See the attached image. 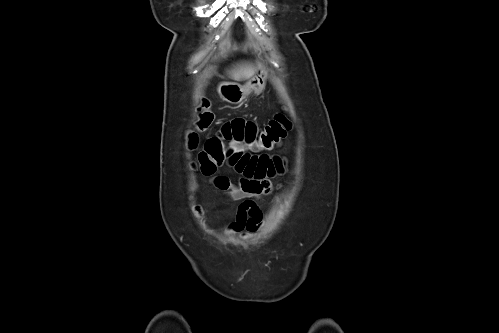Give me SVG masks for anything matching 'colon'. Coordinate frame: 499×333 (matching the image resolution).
Segmentation results:
<instances>
[{"instance_id":"colon-1","label":"colon","mask_w":499,"mask_h":333,"mask_svg":"<svg viewBox=\"0 0 499 333\" xmlns=\"http://www.w3.org/2000/svg\"><path fill=\"white\" fill-rule=\"evenodd\" d=\"M202 114L197 124L199 130H204L210 126L213 121V114L208 111V104L205 102L202 106ZM290 122L283 114H276L263 128L260 133V140L253 148L256 150H271L282 138L285 137ZM189 145L194 148L197 145V135L195 133L189 136ZM232 146L238 150L243 151V144L233 142ZM226 141L215 136L207 140L203 150L198 154L197 166L199 170L205 175L213 174L216 169L227 158Z\"/></svg>"}]
</instances>
